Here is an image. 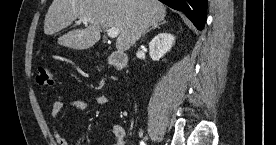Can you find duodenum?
Instances as JSON below:
<instances>
[{"label": "duodenum", "instance_id": "duodenum-1", "mask_svg": "<svg viewBox=\"0 0 276 145\" xmlns=\"http://www.w3.org/2000/svg\"><path fill=\"white\" fill-rule=\"evenodd\" d=\"M108 62L115 68V69H122L125 67L127 62V57L124 52L122 51H114L108 56Z\"/></svg>", "mask_w": 276, "mask_h": 145}]
</instances>
